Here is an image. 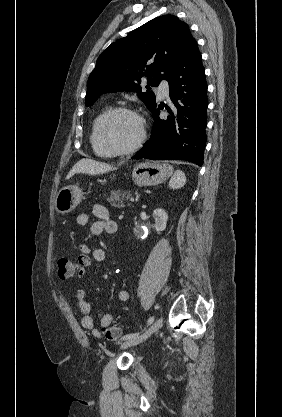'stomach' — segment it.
<instances>
[{"label": "stomach", "mask_w": 282, "mask_h": 417, "mask_svg": "<svg viewBox=\"0 0 282 417\" xmlns=\"http://www.w3.org/2000/svg\"><path fill=\"white\" fill-rule=\"evenodd\" d=\"M171 174H173V166L168 162H138L132 170V178L139 186L160 184ZM82 198V188H79L78 184L64 186L55 198V209L57 213H70L76 209Z\"/></svg>", "instance_id": "1"}]
</instances>
